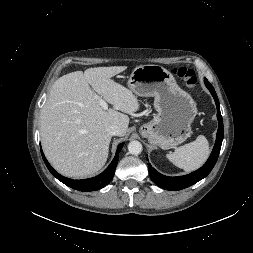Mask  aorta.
Listing matches in <instances>:
<instances>
[{
	"label": "aorta",
	"mask_w": 253,
	"mask_h": 253,
	"mask_svg": "<svg viewBox=\"0 0 253 253\" xmlns=\"http://www.w3.org/2000/svg\"><path fill=\"white\" fill-rule=\"evenodd\" d=\"M142 149V144L139 141L133 140L128 144V151L132 155H139Z\"/></svg>",
	"instance_id": "aorta-1"
}]
</instances>
